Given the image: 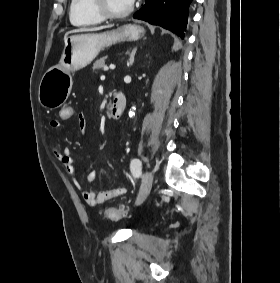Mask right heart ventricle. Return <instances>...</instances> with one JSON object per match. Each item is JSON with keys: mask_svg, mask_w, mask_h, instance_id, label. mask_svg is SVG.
<instances>
[{"mask_svg": "<svg viewBox=\"0 0 280 283\" xmlns=\"http://www.w3.org/2000/svg\"><path fill=\"white\" fill-rule=\"evenodd\" d=\"M69 17L75 26H90L103 21V18L93 9L90 0H71Z\"/></svg>", "mask_w": 280, "mask_h": 283, "instance_id": "e07e8e85", "label": "right heart ventricle"}]
</instances>
